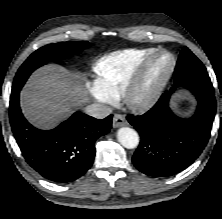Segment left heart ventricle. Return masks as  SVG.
Wrapping results in <instances>:
<instances>
[{
	"mask_svg": "<svg viewBox=\"0 0 222 219\" xmlns=\"http://www.w3.org/2000/svg\"><path fill=\"white\" fill-rule=\"evenodd\" d=\"M168 64V56H162L155 61L148 75L147 89L152 88L159 82L164 72L166 71Z\"/></svg>",
	"mask_w": 222,
	"mask_h": 219,
	"instance_id": "b2bd125f",
	"label": "left heart ventricle"
}]
</instances>
